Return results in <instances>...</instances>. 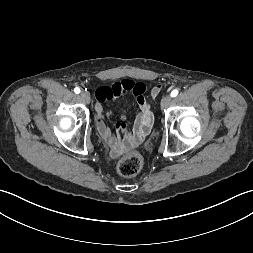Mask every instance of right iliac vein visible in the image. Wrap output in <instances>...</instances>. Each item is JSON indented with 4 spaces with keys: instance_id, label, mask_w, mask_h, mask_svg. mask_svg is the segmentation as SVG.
Segmentation results:
<instances>
[{
    "instance_id": "1",
    "label": "right iliac vein",
    "mask_w": 253,
    "mask_h": 253,
    "mask_svg": "<svg viewBox=\"0 0 253 253\" xmlns=\"http://www.w3.org/2000/svg\"><path fill=\"white\" fill-rule=\"evenodd\" d=\"M80 97H81V99L84 100L86 103H89V102H90V94H89V93L82 91V92L80 93Z\"/></svg>"
}]
</instances>
